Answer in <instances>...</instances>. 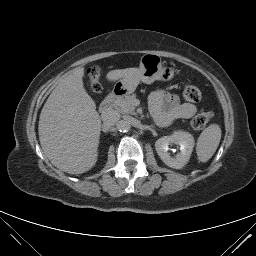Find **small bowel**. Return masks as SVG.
Wrapping results in <instances>:
<instances>
[{"label": "small bowel", "instance_id": "1", "mask_svg": "<svg viewBox=\"0 0 256 256\" xmlns=\"http://www.w3.org/2000/svg\"><path fill=\"white\" fill-rule=\"evenodd\" d=\"M149 109L154 121L161 126L178 118H191L197 112L195 105L184 103L178 95L160 89L150 95Z\"/></svg>", "mask_w": 256, "mask_h": 256}]
</instances>
